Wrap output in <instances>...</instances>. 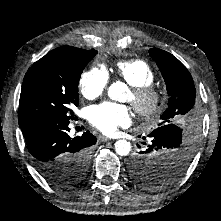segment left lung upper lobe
Segmentation results:
<instances>
[{"label":"left lung upper lobe","mask_w":221,"mask_h":221,"mask_svg":"<svg viewBox=\"0 0 221 221\" xmlns=\"http://www.w3.org/2000/svg\"><path fill=\"white\" fill-rule=\"evenodd\" d=\"M167 86L168 108L162 122L148 137L151 142L138 155L142 169L131 172L133 181L145 188L159 189L176 181L191 159V148L182 141V129L173 124L177 118L195 119V86L187 68L172 54L150 49ZM145 144V143H144Z\"/></svg>","instance_id":"obj_1"}]
</instances>
